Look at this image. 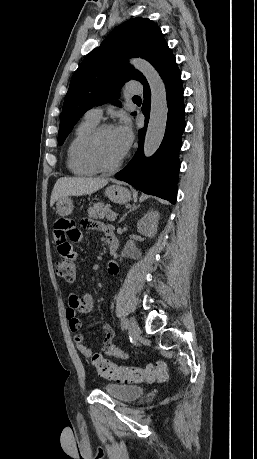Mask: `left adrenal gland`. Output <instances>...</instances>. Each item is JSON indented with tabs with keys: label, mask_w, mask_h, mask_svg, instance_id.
<instances>
[{
	"label": "left adrenal gland",
	"mask_w": 257,
	"mask_h": 459,
	"mask_svg": "<svg viewBox=\"0 0 257 459\" xmlns=\"http://www.w3.org/2000/svg\"><path fill=\"white\" fill-rule=\"evenodd\" d=\"M128 208L129 210L126 213H124V215L120 218L119 223H121L130 212L139 208V205L138 206L136 204H133L132 206L129 205Z\"/></svg>",
	"instance_id": "a2214340"
}]
</instances>
